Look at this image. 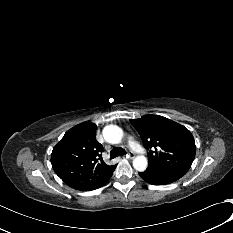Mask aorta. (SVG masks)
<instances>
[{
	"label": "aorta",
	"instance_id": "aorta-1",
	"mask_svg": "<svg viewBox=\"0 0 233 233\" xmlns=\"http://www.w3.org/2000/svg\"><path fill=\"white\" fill-rule=\"evenodd\" d=\"M104 139L111 144H118L121 142L123 137V131L116 125H108L103 129ZM148 161L143 155L137 156L133 160V167L137 171L143 172L147 169Z\"/></svg>",
	"mask_w": 233,
	"mask_h": 233
}]
</instances>
